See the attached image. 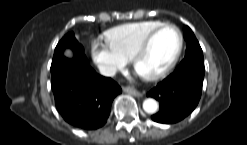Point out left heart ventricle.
<instances>
[{
  "instance_id": "obj_1",
  "label": "left heart ventricle",
  "mask_w": 247,
  "mask_h": 145,
  "mask_svg": "<svg viewBox=\"0 0 247 145\" xmlns=\"http://www.w3.org/2000/svg\"><path fill=\"white\" fill-rule=\"evenodd\" d=\"M178 34L172 28L160 31L151 42L148 50L139 58L136 70L143 75L151 74L166 66L178 47Z\"/></svg>"
}]
</instances>
